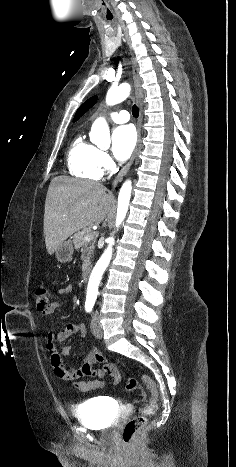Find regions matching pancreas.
I'll use <instances>...</instances> for the list:
<instances>
[{
  "mask_svg": "<svg viewBox=\"0 0 236 467\" xmlns=\"http://www.w3.org/2000/svg\"><path fill=\"white\" fill-rule=\"evenodd\" d=\"M92 230L90 228H85L82 231L77 232L76 234L73 235V244L75 246V249L80 250L81 252H87V256L84 260V263L82 264V270L85 271L86 268L90 264V256L94 251V243L95 240L92 241V243L89 241H85L84 237L87 234H91Z\"/></svg>",
  "mask_w": 236,
  "mask_h": 467,
  "instance_id": "obj_1",
  "label": "pancreas"
}]
</instances>
